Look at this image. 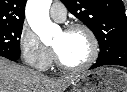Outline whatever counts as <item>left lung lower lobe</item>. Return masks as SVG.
I'll use <instances>...</instances> for the list:
<instances>
[{"label": "left lung lower lobe", "instance_id": "1", "mask_svg": "<svg viewBox=\"0 0 127 92\" xmlns=\"http://www.w3.org/2000/svg\"><path fill=\"white\" fill-rule=\"evenodd\" d=\"M110 64L127 67V44L113 46L106 53L99 55L97 62L90 69Z\"/></svg>", "mask_w": 127, "mask_h": 92}]
</instances>
